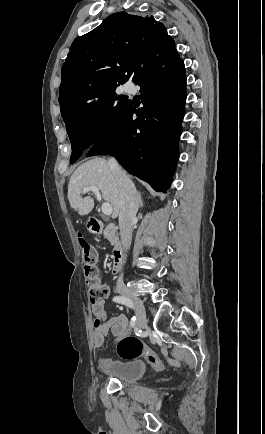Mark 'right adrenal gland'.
<instances>
[{
	"instance_id": "2a0ac1e0",
	"label": "right adrenal gland",
	"mask_w": 265,
	"mask_h": 434,
	"mask_svg": "<svg viewBox=\"0 0 265 434\" xmlns=\"http://www.w3.org/2000/svg\"><path fill=\"white\" fill-rule=\"evenodd\" d=\"M137 196H138V200H139V206H140V208H143V200L141 198L140 192H137Z\"/></svg>"
}]
</instances>
